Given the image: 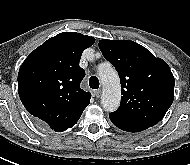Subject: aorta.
Segmentation results:
<instances>
[{
    "label": "aorta",
    "instance_id": "obj_1",
    "mask_svg": "<svg viewBox=\"0 0 190 165\" xmlns=\"http://www.w3.org/2000/svg\"><path fill=\"white\" fill-rule=\"evenodd\" d=\"M99 76L103 85L101 104L105 111L117 110L121 100L120 80L117 72L111 67L101 68Z\"/></svg>",
    "mask_w": 190,
    "mask_h": 165
}]
</instances>
